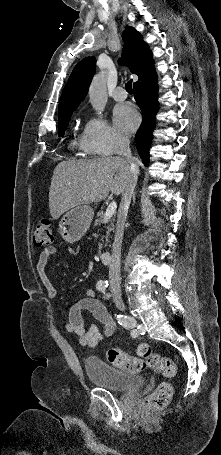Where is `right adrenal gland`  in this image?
<instances>
[{
    "label": "right adrenal gland",
    "mask_w": 221,
    "mask_h": 455,
    "mask_svg": "<svg viewBox=\"0 0 221 455\" xmlns=\"http://www.w3.org/2000/svg\"><path fill=\"white\" fill-rule=\"evenodd\" d=\"M133 203H135V193L133 194Z\"/></svg>",
    "instance_id": "1"
}]
</instances>
